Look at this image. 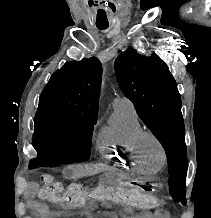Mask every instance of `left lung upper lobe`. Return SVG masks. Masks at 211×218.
Instances as JSON below:
<instances>
[{"label":"left lung upper lobe","instance_id":"1","mask_svg":"<svg viewBox=\"0 0 211 218\" xmlns=\"http://www.w3.org/2000/svg\"><path fill=\"white\" fill-rule=\"evenodd\" d=\"M115 71L122 92L133 102L139 117L165 149L169 193L173 199L185 202L188 162L176 81L156 54L146 57L134 49L117 57Z\"/></svg>","mask_w":211,"mask_h":218}]
</instances>
